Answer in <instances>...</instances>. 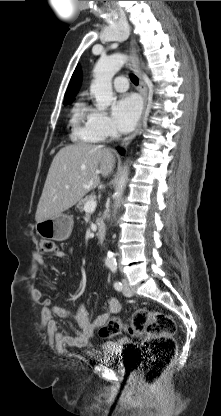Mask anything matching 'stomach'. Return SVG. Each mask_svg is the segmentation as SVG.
Here are the masks:
<instances>
[{
	"instance_id": "1",
	"label": "stomach",
	"mask_w": 221,
	"mask_h": 416,
	"mask_svg": "<svg viewBox=\"0 0 221 416\" xmlns=\"http://www.w3.org/2000/svg\"><path fill=\"white\" fill-rule=\"evenodd\" d=\"M73 219L66 214H59L36 224V232L43 239L64 241L71 235Z\"/></svg>"
}]
</instances>
